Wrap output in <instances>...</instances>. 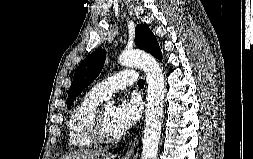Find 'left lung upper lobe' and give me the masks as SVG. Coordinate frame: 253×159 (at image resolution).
<instances>
[{
    "label": "left lung upper lobe",
    "mask_w": 253,
    "mask_h": 159,
    "mask_svg": "<svg viewBox=\"0 0 253 159\" xmlns=\"http://www.w3.org/2000/svg\"><path fill=\"white\" fill-rule=\"evenodd\" d=\"M136 45L159 60H162V53L156 37L145 25L140 24L135 29ZM106 56L105 50H97L90 54L75 71L72 84L68 93L67 107L70 108L74 99L100 74Z\"/></svg>",
    "instance_id": "obj_1"
}]
</instances>
